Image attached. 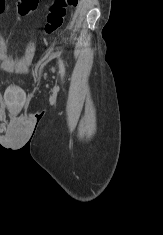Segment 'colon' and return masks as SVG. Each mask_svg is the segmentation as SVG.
Wrapping results in <instances>:
<instances>
[{"label":"colon","instance_id":"obj_1","mask_svg":"<svg viewBox=\"0 0 163 235\" xmlns=\"http://www.w3.org/2000/svg\"><path fill=\"white\" fill-rule=\"evenodd\" d=\"M78 0H53L46 17L44 29L47 33L57 31L64 22L66 11L69 7H75ZM38 7V0H19L17 5L18 14L27 16ZM5 8V0H0V13Z\"/></svg>","mask_w":163,"mask_h":235}]
</instances>
